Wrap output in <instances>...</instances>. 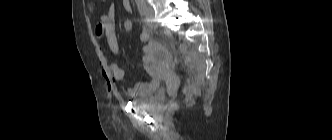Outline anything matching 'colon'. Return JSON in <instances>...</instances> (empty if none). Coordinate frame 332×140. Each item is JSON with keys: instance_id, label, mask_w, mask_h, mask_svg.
I'll return each instance as SVG.
<instances>
[{"instance_id": "colon-1", "label": "colon", "mask_w": 332, "mask_h": 140, "mask_svg": "<svg viewBox=\"0 0 332 140\" xmlns=\"http://www.w3.org/2000/svg\"><path fill=\"white\" fill-rule=\"evenodd\" d=\"M124 33L131 34L133 31V23L130 20H125L122 24Z\"/></svg>"}]
</instances>
